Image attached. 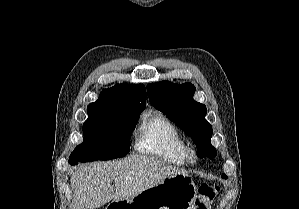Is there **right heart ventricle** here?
<instances>
[{
	"label": "right heart ventricle",
	"mask_w": 299,
	"mask_h": 209,
	"mask_svg": "<svg viewBox=\"0 0 299 209\" xmlns=\"http://www.w3.org/2000/svg\"><path fill=\"white\" fill-rule=\"evenodd\" d=\"M137 151L173 165L187 164L188 143L178 128L163 114L154 113L141 122L135 144Z\"/></svg>",
	"instance_id": "right-heart-ventricle-1"
}]
</instances>
